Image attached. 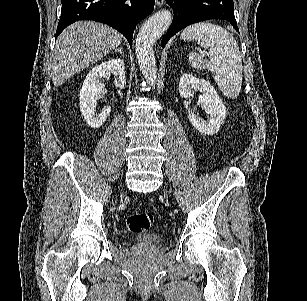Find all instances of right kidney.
I'll use <instances>...</instances> for the list:
<instances>
[{
	"label": "right kidney",
	"mask_w": 307,
	"mask_h": 301,
	"mask_svg": "<svg viewBox=\"0 0 307 301\" xmlns=\"http://www.w3.org/2000/svg\"><path fill=\"white\" fill-rule=\"evenodd\" d=\"M125 72L124 60L122 58L104 60V62L97 64V66L89 70L82 84V88H80L79 106L85 122L91 128H99V126H102L111 112V106L109 104L104 106L101 112H97L96 110L98 94H101L105 90L103 78L114 74L115 80L113 82L115 86L125 88Z\"/></svg>",
	"instance_id": "ca27d5eb"
}]
</instances>
